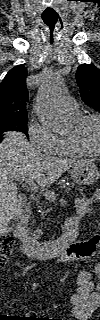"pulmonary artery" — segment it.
Wrapping results in <instances>:
<instances>
[{"instance_id":"obj_1","label":"pulmonary artery","mask_w":100,"mask_h":320,"mask_svg":"<svg viewBox=\"0 0 100 320\" xmlns=\"http://www.w3.org/2000/svg\"><path fill=\"white\" fill-rule=\"evenodd\" d=\"M59 107L61 111L67 115L78 114V104L71 97H63L59 100Z\"/></svg>"}]
</instances>
